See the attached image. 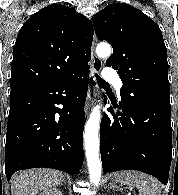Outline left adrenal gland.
Returning <instances> with one entry per match:
<instances>
[{"instance_id":"obj_1","label":"left adrenal gland","mask_w":178,"mask_h":195,"mask_svg":"<svg viewBox=\"0 0 178 195\" xmlns=\"http://www.w3.org/2000/svg\"><path fill=\"white\" fill-rule=\"evenodd\" d=\"M109 189H114V188H116V186H115V184L113 183V181L112 182H110V186L108 187Z\"/></svg>"}]
</instances>
